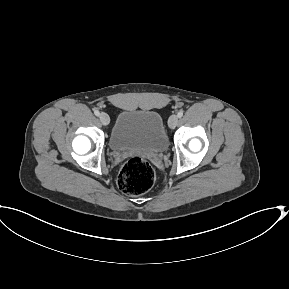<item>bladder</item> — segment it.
I'll use <instances>...</instances> for the list:
<instances>
[{
    "label": "bladder",
    "mask_w": 289,
    "mask_h": 289,
    "mask_svg": "<svg viewBox=\"0 0 289 289\" xmlns=\"http://www.w3.org/2000/svg\"><path fill=\"white\" fill-rule=\"evenodd\" d=\"M109 146L115 152L164 153L168 136L161 116L153 110L120 112L109 136Z\"/></svg>",
    "instance_id": "bladder-1"
}]
</instances>
